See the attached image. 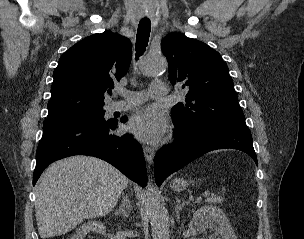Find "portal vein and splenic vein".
<instances>
[{"instance_id": "obj_1", "label": "portal vein and splenic vein", "mask_w": 304, "mask_h": 239, "mask_svg": "<svg viewBox=\"0 0 304 239\" xmlns=\"http://www.w3.org/2000/svg\"><path fill=\"white\" fill-rule=\"evenodd\" d=\"M200 201V198H198L197 200H196V202H199Z\"/></svg>"}]
</instances>
